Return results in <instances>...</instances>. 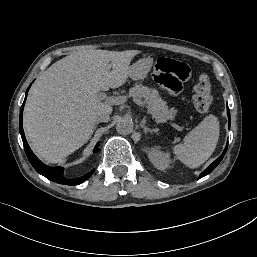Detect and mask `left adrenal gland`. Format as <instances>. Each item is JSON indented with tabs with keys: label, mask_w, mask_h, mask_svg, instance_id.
<instances>
[{
	"label": "left adrenal gland",
	"mask_w": 257,
	"mask_h": 257,
	"mask_svg": "<svg viewBox=\"0 0 257 257\" xmlns=\"http://www.w3.org/2000/svg\"><path fill=\"white\" fill-rule=\"evenodd\" d=\"M140 127L143 129L144 133L147 134V132H158V129H151L149 128L148 126H146V121L145 120H142L141 123H140Z\"/></svg>",
	"instance_id": "a2214340"
}]
</instances>
